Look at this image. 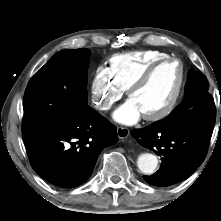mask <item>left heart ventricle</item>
<instances>
[{
	"instance_id": "b2bd125f",
	"label": "left heart ventricle",
	"mask_w": 221,
	"mask_h": 221,
	"mask_svg": "<svg viewBox=\"0 0 221 221\" xmlns=\"http://www.w3.org/2000/svg\"><path fill=\"white\" fill-rule=\"evenodd\" d=\"M180 80V68L171 62L160 67L150 80L133 93V99L142 115L154 114L163 109L173 97Z\"/></svg>"
}]
</instances>
